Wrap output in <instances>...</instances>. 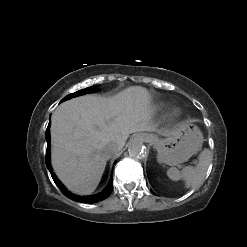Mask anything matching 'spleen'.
I'll return each instance as SVG.
<instances>
[{"label": "spleen", "instance_id": "3e777b00", "mask_svg": "<svg viewBox=\"0 0 247 247\" xmlns=\"http://www.w3.org/2000/svg\"><path fill=\"white\" fill-rule=\"evenodd\" d=\"M199 162L196 167L186 166L179 171L177 168L172 167L168 169L167 176L173 180L178 181L183 179L186 188H195L199 186L205 178L207 169L212 161V154L210 150L204 149L199 155Z\"/></svg>", "mask_w": 247, "mask_h": 247}]
</instances>
